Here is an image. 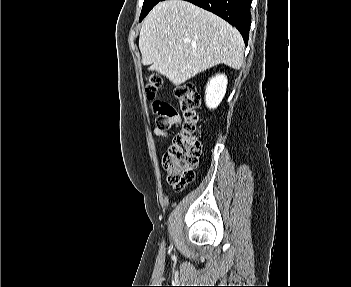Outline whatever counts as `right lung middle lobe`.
<instances>
[{
	"label": "right lung middle lobe",
	"instance_id": "obj_1",
	"mask_svg": "<svg viewBox=\"0 0 351 287\" xmlns=\"http://www.w3.org/2000/svg\"><path fill=\"white\" fill-rule=\"evenodd\" d=\"M160 1L162 0H144L139 21H142L143 18L150 12V10Z\"/></svg>",
	"mask_w": 351,
	"mask_h": 287
}]
</instances>
